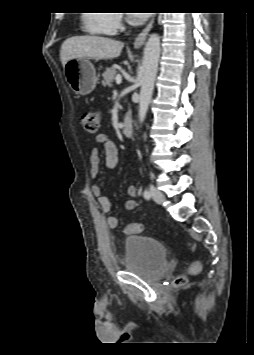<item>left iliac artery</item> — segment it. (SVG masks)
Returning a JSON list of instances; mask_svg holds the SVG:
<instances>
[{"mask_svg": "<svg viewBox=\"0 0 254 355\" xmlns=\"http://www.w3.org/2000/svg\"><path fill=\"white\" fill-rule=\"evenodd\" d=\"M143 196L145 199L149 200L150 199V192L146 189L143 192Z\"/></svg>", "mask_w": 254, "mask_h": 355, "instance_id": "1", "label": "left iliac artery"}]
</instances>
